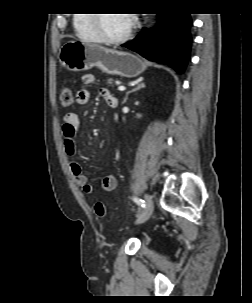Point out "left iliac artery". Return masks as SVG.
Masks as SVG:
<instances>
[{
	"mask_svg": "<svg viewBox=\"0 0 252 303\" xmlns=\"http://www.w3.org/2000/svg\"><path fill=\"white\" fill-rule=\"evenodd\" d=\"M133 200H134V202H136L138 205H140L142 208H144L145 207V202H144V200H142V199H139V198H133Z\"/></svg>",
	"mask_w": 252,
	"mask_h": 303,
	"instance_id": "44dca946",
	"label": "left iliac artery"
}]
</instances>
